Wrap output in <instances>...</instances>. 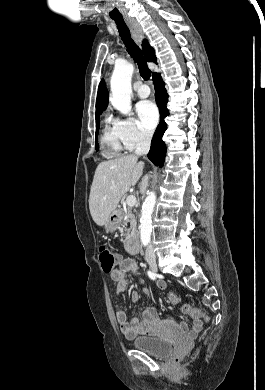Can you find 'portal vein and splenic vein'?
<instances>
[{
  "mask_svg": "<svg viewBox=\"0 0 265 390\" xmlns=\"http://www.w3.org/2000/svg\"><path fill=\"white\" fill-rule=\"evenodd\" d=\"M126 204L129 207L135 206L136 205V197L133 195L128 196L126 199Z\"/></svg>",
  "mask_w": 265,
  "mask_h": 390,
  "instance_id": "1",
  "label": "portal vein and splenic vein"
}]
</instances>
